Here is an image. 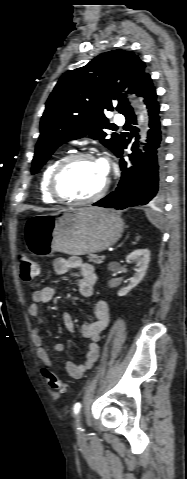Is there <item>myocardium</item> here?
Returning <instances> with one entry per match:
<instances>
[{
	"label": "myocardium",
	"mask_w": 187,
	"mask_h": 479,
	"mask_svg": "<svg viewBox=\"0 0 187 479\" xmlns=\"http://www.w3.org/2000/svg\"><path fill=\"white\" fill-rule=\"evenodd\" d=\"M81 159H93L97 161V158L92 153L79 151V152L71 153L63 157L54 168L49 179V192L55 200L62 203L71 204V205H85V204H91L100 200L107 193L110 186V180L108 176H106L105 182L100 188V190L90 197L74 198V197L67 196L61 192L59 188V182H60L62 174L72 163Z\"/></svg>",
	"instance_id": "obj_1"
}]
</instances>
